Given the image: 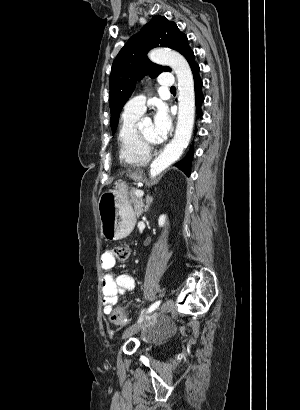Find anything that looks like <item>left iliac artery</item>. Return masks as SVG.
<instances>
[{
	"instance_id": "left-iliac-artery-1",
	"label": "left iliac artery",
	"mask_w": 300,
	"mask_h": 410,
	"mask_svg": "<svg viewBox=\"0 0 300 410\" xmlns=\"http://www.w3.org/2000/svg\"><path fill=\"white\" fill-rule=\"evenodd\" d=\"M161 301H156L155 303H153L147 310L146 313H151L152 311H154L156 308L159 307Z\"/></svg>"
}]
</instances>
